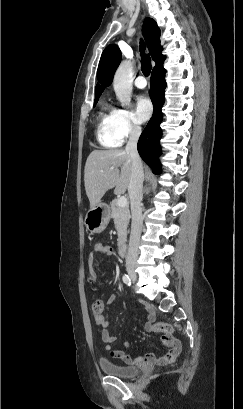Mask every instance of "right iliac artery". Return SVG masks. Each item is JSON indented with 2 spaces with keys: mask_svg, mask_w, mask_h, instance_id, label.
Here are the masks:
<instances>
[{
  "mask_svg": "<svg viewBox=\"0 0 243 409\" xmlns=\"http://www.w3.org/2000/svg\"><path fill=\"white\" fill-rule=\"evenodd\" d=\"M122 279H123V282H124L126 285H128V286L131 285L130 277H129L127 274L123 275Z\"/></svg>",
  "mask_w": 243,
  "mask_h": 409,
  "instance_id": "obj_1",
  "label": "right iliac artery"
}]
</instances>
